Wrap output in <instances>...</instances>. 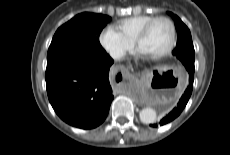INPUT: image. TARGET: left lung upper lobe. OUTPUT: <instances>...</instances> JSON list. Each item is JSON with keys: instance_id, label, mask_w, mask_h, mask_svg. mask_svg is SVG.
Instances as JSON below:
<instances>
[{"instance_id": "left-lung-upper-lobe-1", "label": "left lung upper lobe", "mask_w": 230, "mask_h": 155, "mask_svg": "<svg viewBox=\"0 0 230 155\" xmlns=\"http://www.w3.org/2000/svg\"><path fill=\"white\" fill-rule=\"evenodd\" d=\"M168 14L173 18L175 22V27L178 34L177 45L172 54L175 55L179 60V57H187L194 61V47L190 30L177 15L171 12H168Z\"/></svg>"}]
</instances>
